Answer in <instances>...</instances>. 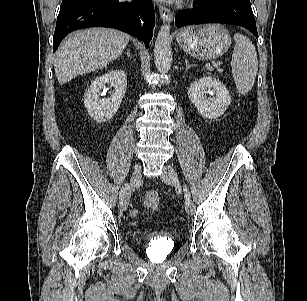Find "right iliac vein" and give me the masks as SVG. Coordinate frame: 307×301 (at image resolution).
Instances as JSON below:
<instances>
[{
    "label": "right iliac vein",
    "instance_id": "right-iliac-vein-1",
    "mask_svg": "<svg viewBox=\"0 0 307 301\" xmlns=\"http://www.w3.org/2000/svg\"><path fill=\"white\" fill-rule=\"evenodd\" d=\"M140 178H141V166L137 165L131 176V187L128 189V191H126L125 195L120 200L119 206H120L121 211H125L127 209L129 200H130V196H131V190L140 181Z\"/></svg>",
    "mask_w": 307,
    "mask_h": 301
}]
</instances>
